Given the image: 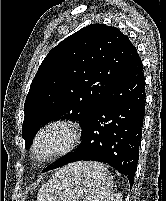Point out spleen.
I'll return each mask as SVG.
<instances>
[{"instance_id":"1","label":"spleen","mask_w":166,"mask_h":201,"mask_svg":"<svg viewBox=\"0 0 166 201\" xmlns=\"http://www.w3.org/2000/svg\"><path fill=\"white\" fill-rule=\"evenodd\" d=\"M114 186L110 172L97 162L78 161L56 172L38 193L39 201H105Z\"/></svg>"}]
</instances>
